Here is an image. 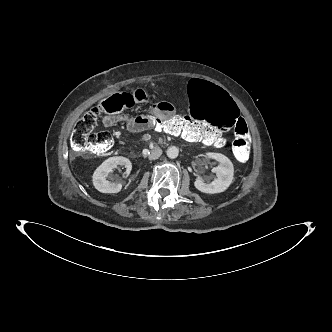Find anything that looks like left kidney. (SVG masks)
Listing matches in <instances>:
<instances>
[{
	"label": "left kidney",
	"mask_w": 332,
	"mask_h": 332,
	"mask_svg": "<svg viewBox=\"0 0 332 332\" xmlns=\"http://www.w3.org/2000/svg\"><path fill=\"white\" fill-rule=\"evenodd\" d=\"M206 156L209 159H214L219 162V165L211 170L216 174V178L209 183H205L203 179H196L194 186L203 193L215 194L224 192L233 181V164L230 159L221 153L208 152Z\"/></svg>",
	"instance_id": "obj_1"
}]
</instances>
